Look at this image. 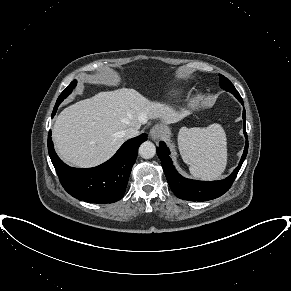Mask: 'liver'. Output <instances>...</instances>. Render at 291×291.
Wrapping results in <instances>:
<instances>
[{
	"mask_svg": "<svg viewBox=\"0 0 291 291\" xmlns=\"http://www.w3.org/2000/svg\"><path fill=\"white\" fill-rule=\"evenodd\" d=\"M153 118L169 124L177 121L180 114L134 89L105 91L65 108L56 118L52 137L66 163L94 167L112 157L122 145L123 130L139 129Z\"/></svg>",
	"mask_w": 291,
	"mask_h": 291,
	"instance_id": "liver-1",
	"label": "liver"
}]
</instances>
